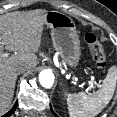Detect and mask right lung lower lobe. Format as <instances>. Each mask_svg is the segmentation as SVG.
<instances>
[{
	"label": "right lung lower lobe",
	"mask_w": 117,
	"mask_h": 117,
	"mask_svg": "<svg viewBox=\"0 0 117 117\" xmlns=\"http://www.w3.org/2000/svg\"><path fill=\"white\" fill-rule=\"evenodd\" d=\"M16 107H17V103L13 106V108L8 113L3 115L2 117H10L11 114L16 110Z\"/></svg>",
	"instance_id": "98d812e1"
}]
</instances>
